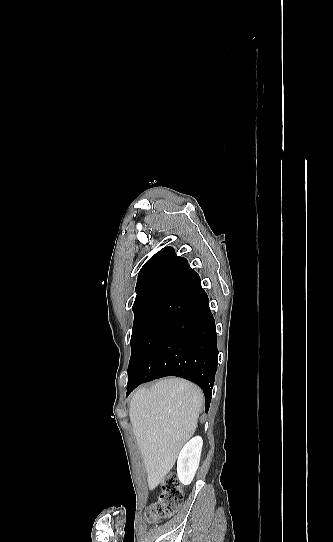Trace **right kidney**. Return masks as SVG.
<instances>
[{"mask_svg":"<svg viewBox=\"0 0 333 542\" xmlns=\"http://www.w3.org/2000/svg\"><path fill=\"white\" fill-rule=\"evenodd\" d=\"M203 440L195 436L183 446L177 460V476L184 486L191 484L199 466Z\"/></svg>","mask_w":333,"mask_h":542,"instance_id":"ca27d5eb","label":"right kidney"}]
</instances>
